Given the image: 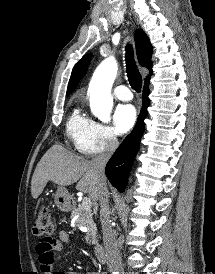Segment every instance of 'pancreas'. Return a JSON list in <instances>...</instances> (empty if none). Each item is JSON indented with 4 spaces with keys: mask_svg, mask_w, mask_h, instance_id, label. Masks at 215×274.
Masks as SVG:
<instances>
[{
    "mask_svg": "<svg viewBox=\"0 0 215 274\" xmlns=\"http://www.w3.org/2000/svg\"><path fill=\"white\" fill-rule=\"evenodd\" d=\"M72 218L75 219V223L87 228L85 241L88 244H97V227L93 220V213L91 210H85L82 205H78L71 213Z\"/></svg>",
    "mask_w": 215,
    "mask_h": 274,
    "instance_id": "cf45deb5",
    "label": "pancreas"
}]
</instances>
